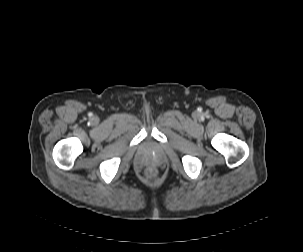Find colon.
<instances>
[{
	"instance_id": "colon-1",
	"label": "colon",
	"mask_w": 303,
	"mask_h": 252,
	"mask_svg": "<svg viewBox=\"0 0 303 252\" xmlns=\"http://www.w3.org/2000/svg\"><path fill=\"white\" fill-rule=\"evenodd\" d=\"M147 174L150 178H155L157 176V170L155 168H149Z\"/></svg>"
}]
</instances>
